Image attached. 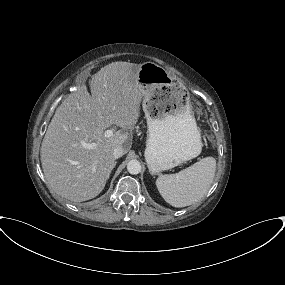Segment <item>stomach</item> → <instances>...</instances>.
Returning a JSON list of instances; mask_svg holds the SVG:
<instances>
[{"instance_id": "1", "label": "stomach", "mask_w": 285, "mask_h": 285, "mask_svg": "<svg viewBox=\"0 0 285 285\" xmlns=\"http://www.w3.org/2000/svg\"><path fill=\"white\" fill-rule=\"evenodd\" d=\"M133 75L143 97L147 120L145 159L150 174L197 157L202 149L201 135L184 85L153 62L139 65Z\"/></svg>"}]
</instances>
